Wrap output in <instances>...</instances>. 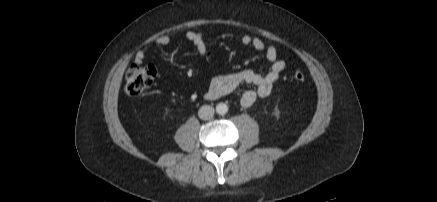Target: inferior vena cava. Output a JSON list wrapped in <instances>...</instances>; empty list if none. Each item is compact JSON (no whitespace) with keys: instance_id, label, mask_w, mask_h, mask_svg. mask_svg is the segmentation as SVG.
<instances>
[{"instance_id":"602c4592","label":"inferior vena cava","mask_w":437,"mask_h":202,"mask_svg":"<svg viewBox=\"0 0 437 202\" xmlns=\"http://www.w3.org/2000/svg\"><path fill=\"white\" fill-rule=\"evenodd\" d=\"M214 115V108L209 105H203L198 111V116L202 120H209Z\"/></svg>"}]
</instances>
